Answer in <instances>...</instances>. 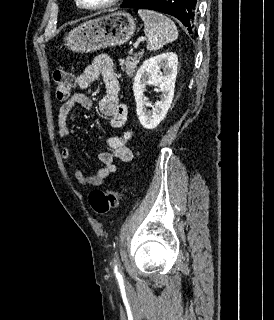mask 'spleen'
Wrapping results in <instances>:
<instances>
[{
	"label": "spleen",
	"instance_id": "3e777b00",
	"mask_svg": "<svg viewBox=\"0 0 274 320\" xmlns=\"http://www.w3.org/2000/svg\"><path fill=\"white\" fill-rule=\"evenodd\" d=\"M138 14L145 24L147 50L154 52V50L163 48L165 44L177 40L178 30L170 18L158 12H152V10H138Z\"/></svg>",
	"mask_w": 274,
	"mask_h": 320
}]
</instances>
